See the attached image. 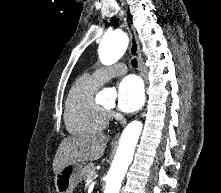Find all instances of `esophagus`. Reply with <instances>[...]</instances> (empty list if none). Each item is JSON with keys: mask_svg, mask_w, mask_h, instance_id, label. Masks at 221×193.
Returning a JSON list of instances; mask_svg holds the SVG:
<instances>
[{"mask_svg": "<svg viewBox=\"0 0 221 193\" xmlns=\"http://www.w3.org/2000/svg\"><path fill=\"white\" fill-rule=\"evenodd\" d=\"M126 26L128 29V33L130 36V53L132 56H134L138 61V69L140 71L141 76L143 77L145 83L147 84L146 76L144 74L143 70V64H142V58L140 54V48H139V42L136 34V30L131 22L127 21ZM119 133L115 135V137H118Z\"/></svg>", "mask_w": 221, "mask_h": 193, "instance_id": "1", "label": "esophagus"}]
</instances>
